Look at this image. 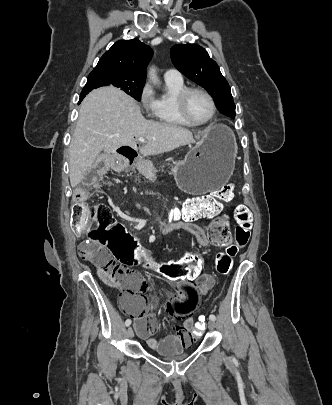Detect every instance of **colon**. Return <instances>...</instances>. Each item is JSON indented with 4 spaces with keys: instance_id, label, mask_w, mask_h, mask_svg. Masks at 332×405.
Returning a JSON list of instances; mask_svg holds the SVG:
<instances>
[{
    "instance_id": "colon-1",
    "label": "colon",
    "mask_w": 332,
    "mask_h": 405,
    "mask_svg": "<svg viewBox=\"0 0 332 405\" xmlns=\"http://www.w3.org/2000/svg\"><path fill=\"white\" fill-rule=\"evenodd\" d=\"M233 190L232 184L225 185L208 195L189 199L180 208L171 209L168 215L176 217L186 212L199 215L217 212L223 208L224 203L232 199ZM234 219L235 229L228 227L224 213H219L217 220H208L207 227H203L202 240L198 243L199 249H224L225 243H231L234 236V242L215 258V269L222 275L230 272L234 257L250 239L252 217L249 210L242 205L237 206ZM72 228L78 235L88 237L79 245V256L102 271L123 294L126 291L121 289V277L113 256H122L124 267H136L138 270L148 268L155 273H165L170 282L199 281L204 273L201 259L156 263L151 258L138 260L139 246L127 227L115 220L107 205L88 203L82 196L72 206ZM207 323V316H196L190 334L194 344H199Z\"/></svg>"
}]
</instances>
